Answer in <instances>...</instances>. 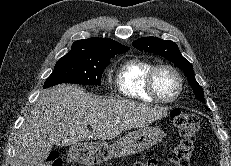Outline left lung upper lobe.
Masks as SVG:
<instances>
[{"label":"left lung upper lobe","instance_id":"1","mask_svg":"<svg viewBox=\"0 0 231 166\" xmlns=\"http://www.w3.org/2000/svg\"><path fill=\"white\" fill-rule=\"evenodd\" d=\"M132 45L140 51L151 52L173 62L175 66L182 69L185 73L193 89L195 98L201 102L205 101L203 97L204 92L195 79L192 64L181 55L176 43L171 40H162L157 37H142L135 40Z\"/></svg>","mask_w":231,"mask_h":166}]
</instances>
